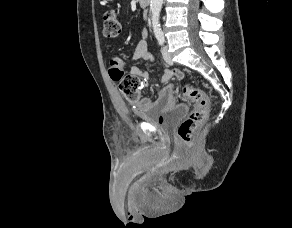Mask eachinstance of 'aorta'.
<instances>
[{
  "label": "aorta",
  "mask_w": 292,
  "mask_h": 228,
  "mask_svg": "<svg viewBox=\"0 0 292 228\" xmlns=\"http://www.w3.org/2000/svg\"><path fill=\"white\" fill-rule=\"evenodd\" d=\"M163 0H150V13L152 27L155 33L160 32L159 16L162 8Z\"/></svg>",
  "instance_id": "1"
}]
</instances>
